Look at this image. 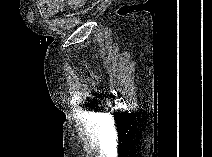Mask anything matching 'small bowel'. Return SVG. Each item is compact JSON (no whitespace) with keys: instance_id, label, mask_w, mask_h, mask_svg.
Here are the masks:
<instances>
[{"instance_id":"obj_1","label":"small bowel","mask_w":212,"mask_h":157,"mask_svg":"<svg viewBox=\"0 0 212 157\" xmlns=\"http://www.w3.org/2000/svg\"><path fill=\"white\" fill-rule=\"evenodd\" d=\"M67 4L71 8L78 7L82 4V1H62V0H51V1H42L39 3V11L42 15L46 17H51L55 15L60 9Z\"/></svg>"}]
</instances>
